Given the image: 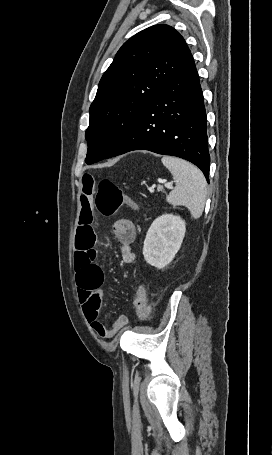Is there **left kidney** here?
<instances>
[{"instance_id": "1", "label": "left kidney", "mask_w": 272, "mask_h": 455, "mask_svg": "<svg viewBox=\"0 0 272 455\" xmlns=\"http://www.w3.org/2000/svg\"><path fill=\"white\" fill-rule=\"evenodd\" d=\"M185 221L173 214H164L151 224L144 241L146 262L158 269L166 267L175 257L185 236Z\"/></svg>"}]
</instances>
